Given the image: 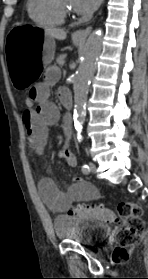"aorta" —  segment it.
<instances>
[{"label": "aorta", "instance_id": "aorta-1", "mask_svg": "<svg viewBox=\"0 0 148 279\" xmlns=\"http://www.w3.org/2000/svg\"><path fill=\"white\" fill-rule=\"evenodd\" d=\"M102 49V30L93 31L85 44L82 59L76 73L74 85V123L81 138L80 132L85 120V103L89 83L96 69V62Z\"/></svg>", "mask_w": 148, "mask_h": 279}]
</instances>
